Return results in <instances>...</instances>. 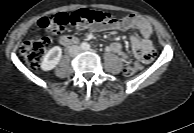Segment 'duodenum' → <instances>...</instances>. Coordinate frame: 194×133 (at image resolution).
<instances>
[{
  "instance_id": "1",
  "label": "duodenum",
  "mask_w": 194,
  "mask_h": 133,
  "mask_svg": "<svg viewBox=\"0 0 194 133\" xmlns=\"http://www.w3.org/2000/svg\"><path fill=\"white\" fill-rule=\"evenodd\" d=\"M59 42L64 46H70L76 44L78 39L73 36L63 35L60 37Z\"/></svg>"
}]
</instances>
